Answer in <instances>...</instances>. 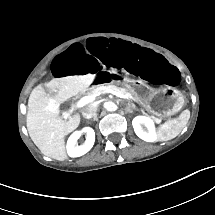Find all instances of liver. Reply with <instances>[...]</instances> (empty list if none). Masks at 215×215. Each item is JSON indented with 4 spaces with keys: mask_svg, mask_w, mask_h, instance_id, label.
<instances>
[{
    "mask_svg": "<svg viewBox=\"0 0 215 215\" xmlns=\"http://www.w3.org/2000/svg\"><path fill=\"white\" fill-rule=\"evenodd\" d=\"M94 74L74 75L53 78L46 84L51 97L38 86L34 88L28 100V133L43 154L63 161L67 158L64 136L76 129L80 115L76 113L69 120L59 117L60 103L78 93H83L92 82Z\"/></svg>",
    "mask_w": 215,
    "mask_h": 215,
    "instance_id": "6515ba94",
    "label": "liver"
}]
</instances>
